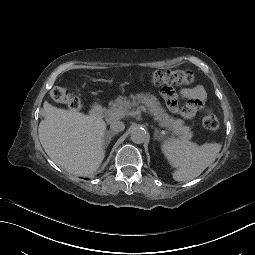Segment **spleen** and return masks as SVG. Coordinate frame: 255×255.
Instances as JSON below:
<instances>
[{
	"instance_id": "spleen-1",
	"label": "spleen",
	"mask_w": 255,
	"mask_h": 255,
	"mask_svg": "<svg viewBox=\"0 0 255 255\" xmlns=\"http://www.w3.org/2000/svg\"><path fill=\"white\" fill-rule=\"evenodd\" d=\"M220 149L218 143L199 146L184 138H168L161 145L164 157L175 169L172 178L177 182H188L199 176L213 163Z\"/></svg>"
}]
</instances>
